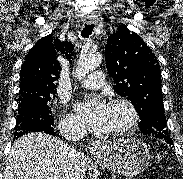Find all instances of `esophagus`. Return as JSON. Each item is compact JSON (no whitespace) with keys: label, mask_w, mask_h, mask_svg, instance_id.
Wrapping results in <instances>:
<instances>
[{"label":"esophagus","mask_w":183,"mask_h":179,"mask_svg":"<svg viewBox=\"0 0 183 179\" xmlns=\"http://www.w3.org/2000/svg\"><path fill=\"white\" fill-rule=\"evenodd\" d=\"M86 22L90 24V23L93 22V20L88 19ZM100 148H101V143H100L99 141H92V142L89 144V150H90V152H92V153L98 152V151L100 150Z\"/></svg>","instance_id":"1"}]
</instances>
